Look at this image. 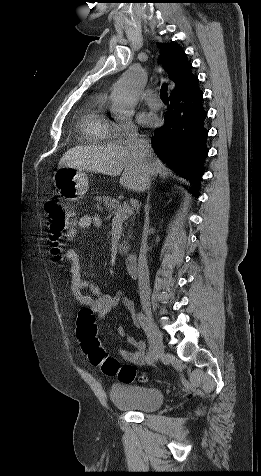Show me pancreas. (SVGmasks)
<instances>
[{"label":"pancreas","mask_w":261,"mask_h":476,"mask_svg":"<svg viewBox=\"0 0 261 476\" xmlns=\"http://www.w3.org/2000/svg\"><path fill=\"white\" fill-rule=\"evenodd\" d=\"M101 203L103 204L105 210L110 214V215H115L116 212L120 209H122L121 203L115 199L111 198L109 196H103L98 198ZM125 225L127 226V223L125 222ZM129 238H131V235L129 234ZM129 244L128 241L124 238L123 242L119 245V252L122 254H127L129 252Z\"/></svg>","instance_id":"cf45deb5"}]
</instances>
